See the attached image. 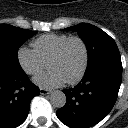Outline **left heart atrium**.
<instances>
[{
    "instance_id": "1",
    "label": "left heart atrium",
    "mask_w": 128,
    "mask_h": 128,
    "mask_svg": "<svg viewBox=\"0 0 128 128\" xmlns=\"http://www.w3.org/2000/svg\"><path fill=\"white\" fill-rule=\"evenodd\" d=\"M65 82V79L56 70L47 71L34 78L35 84L47 89L60 87Z\"/></svg>"
}]
</instances>
